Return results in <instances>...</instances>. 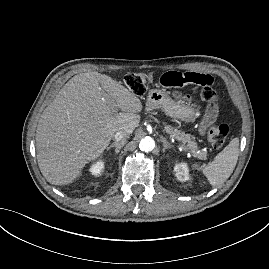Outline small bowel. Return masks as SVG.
Returning <instances> with one entry per match:
<instances>
[{
  "instance_id": "c3829d8e",
  "label": "small bowel",
  "mask_w": 269,
  "mask_h": 269,
  "mask_svg": "<svg viewBox=\"0 0 269 269\" xmlns=\"http://www.w3.org/2000/svg\"><path fill=\"white\" fill-rule=\"evenodd\" d=\"M177 73L179 72L169 71L166 74L160 75L157 80L158 84L169 89L185 87L196 99L204 103L212 104L207 107L204 120L200 126L201 133H204L205 129L216 120L218 108L216 105H213V103L203 100L201 92L205 88L216 90L215 82L208 74L200 75L201 73L197 72Z\"/></svg>"
}]
</instances>
